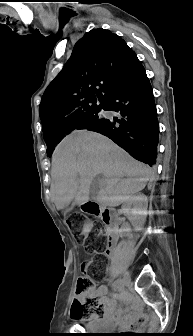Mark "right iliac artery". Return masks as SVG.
<instances>
[{"mask_svg": "<svg viewBox=\"0 0 193 336\" xmlns=\"http://www.w3.org/2000/svg\"><path fill=\"white\" fill-rule=\"evenodd\" d=\"M120 282H121V279H117L114 284H113V289L116 291L117 288H119L120 286ZM121 297V294L116 292V293H113V298L114 299H119Z\"/></svg>", "mask_w": 193, "mask_h": 336, "instance_id": "1", "label": "right iliac artery"}]
</instances>
